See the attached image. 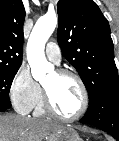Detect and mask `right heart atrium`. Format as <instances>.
<instances>
[{"mask_svg":"<svg viewBox=\"0 0 119 141\" xmlns=\"http://www.w3.org/2000/svg\"><path fill=\"white\" fill-rule=\"evenodd\" d=\"M9 94L13 106L21 113H29L37 104L41 96V88L25 65L20 66L15 73Z\"/></svg>","mask_w":119,"mask_h":141,"instance_id":"d8ad5b80","label":"right heart atrium"}]
</instances>
